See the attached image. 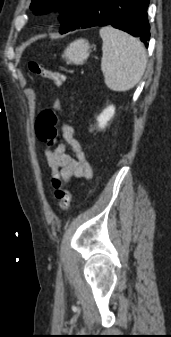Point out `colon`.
I'll return each instance as SVG.
<instances>
[{
    "label": "colon",
    "instance_id": "5ec220e1",
    "mask_svg": "<svg viewBox=\"0 0 171 337\" xmlns=\"http://www.w3.org/2000/svg\"><path fill=\"white\" fill-rule=\"evenodd\" d=\"M29 69L33 74L47 78L56 86H60L65 82V77L62 74L37 61L29 62ZM57 123L58 115L51 109L41 111L35 122L36 136L50 148L55 144L58 135ZM53 186L60 210H67L71 201V192L69 188L64 184L61 178H55L53 180Z\"/></svg>",
    "mask_w": 171,
    "mask_h": 337
}]
</instances>
